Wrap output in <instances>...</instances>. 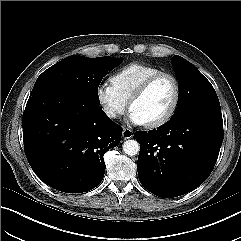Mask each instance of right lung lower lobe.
Masks as SVG:
<instances>
[{
  "instance_id": "98d812e1",
  "label": "right lung lower lobe",
  "mask_w": 241,
  "mask_h": 241,
  "mask_svg": "<svg viewBox=\"0 0 241 241\" xmlns=\"http://www.w3.org/2000/svg\"><path fill=\"white\" fill-rule=\"evenodd\" d=\"M24 149L36 175L65 193L95 188L104 154L120 143L122 127L99 107L52 90L30 96L22 119Z\"/></svg>"
}]
</instances>
